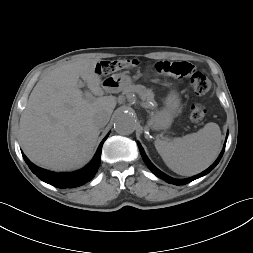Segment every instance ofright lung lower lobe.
<instances>
[{
	"mask_svg": "<svg viewBox=\"0 0 253 253\" xmlns=\"http://www.w3.org/2000/svg\"><path fill=\"white\" fill-rule=\"evenodd\" d=\"M108 135L100 143L97 152L92 161L83 169L71 172V173H55L48 170L42 169L34 165L29 159L23 154V158L31 171L42 181L53 185L58 188H73L78 187L86 182L90 181L96 174L100 162H101V151L104 141Z\"/></svg>",
	"mask_w": 253,
	"mask_h": 253,
	"instance_id": "98d812e1",
	"label": "right lung lower lobe"
}]
</instances>
